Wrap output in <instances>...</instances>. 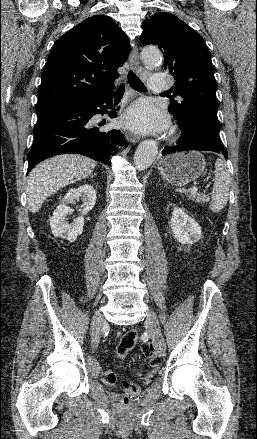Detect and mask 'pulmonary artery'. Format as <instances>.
<instances>
[{
    "mask_svg": "<svg viewBox=\"0 0 257 439\" xmlns=\"http://www.w3.org/2000/svg\"><path fill=\"white\" fill-rule=\"evenodd\" d=\"M149 89L154 93H165L168 89L167 76L163 73H154L149 78Z\"/></svg>",
    "mask_w": 257,
    "mask_h": 439,
    "instance_id": "pulmonary-artery-1",
    "label": "pulmonary artery"
}]
</instances>
